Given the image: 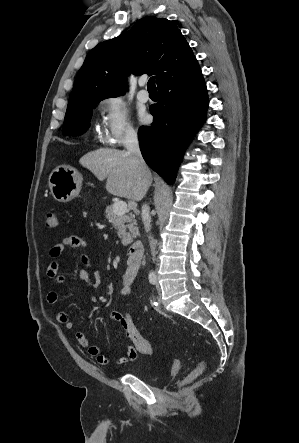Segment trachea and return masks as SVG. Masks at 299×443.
Returning a JSON list of instances; mask_svg holds the SVG:
<instances>
[{"label":"trachea","mask_w":299,"mask_h":443,"mask_svg":"<svg viewBox=\"0 0 299 443\" xmlns=\"http://www.w3.org/2000/svg\"><path fill=\"white\" fill-rule=\"evenodd\" d=\"M147 87H148V91H157V88L155 86V78L154 77H151L148 80Z\"/></svg>","instance_id":"obj_1"}]
</instances>
